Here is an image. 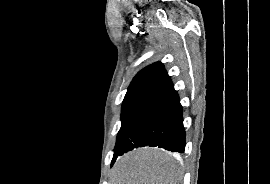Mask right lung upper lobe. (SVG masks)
Instances as JSON below:
<instances>
[{
    "instance_id": "right-lung-upper-lobe-1",
    "label": "right lung upper lobe",
    "mask_w": 270,
    "mask_h": 184,
    "mask_svg": "<svg viewBox=\"0 0 270 184\" xmlns=\"http://www.w3.org/2000/svg\"><path fill=\"white\" fill-rule=\"evenodd\" d=\"M172 81L161 62L153 63L133 78L125 99L133 97H151L155 93L167 87Z\"/></svg>"
}]
</instances>
